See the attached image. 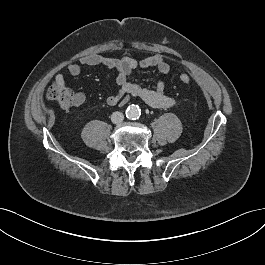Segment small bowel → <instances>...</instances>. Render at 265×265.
Returning a JSON list of instances; mask_svg holds the SVG:
<instances>
[{
	"label": "small bowel",
	"mask_w": 265,
	"mask_h": 265,
	"mask_svg": "<svg viewBox=\"0 0 265 265\" xmlns=\"http://www.w3.org/2000/svg\"><path fill=\"white\" fill-rule=\"evenodd\" d=\"M81 65H102L116 70V83L118 87L114 93L107 97V103L111 106L119 103L125 104L131 96L138 97L155 108H168L175 105V99L166 94L165 83L163 81H159L153 89L141 87L128 81V76L137 68L155 67L162 74L170 73L171 66L161 54L146 56L141 59H135L133 57L114 58L95 53L89 54L81 57L79 63H69L67 65L69 74L72 76L80 75ZM54 81L59 86H65L62 74H57ZM85 100L86 96L83 92H76L73 95L72 105L79 107Z\"/></svg>",
	"instance_id": "c3829d8e"
}]
</instances>
